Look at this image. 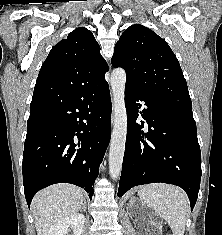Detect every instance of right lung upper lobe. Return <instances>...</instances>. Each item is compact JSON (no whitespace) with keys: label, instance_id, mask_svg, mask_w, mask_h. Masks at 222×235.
<instances>
[{"label":"right lung upper lobe","instance_id":"right-lung-upper-lobe-1","mask_svg":"<svg viewBox=\"0 0 222 235\" xmlns=\"http://www.w3.org/2000/svg\"><path fill=\"white\" fill-rule=\"evenodd\" d=\"M107 71L108 65L92 32L81 27L51 49L42 64L35 88L50 87L65 91L93 83L104 77ZM49 119L51 116L47 108L38 101L31 102L27 123L37 124Z\"/></svg>","mask_w":222,"mask_h":235}]
</instances>
